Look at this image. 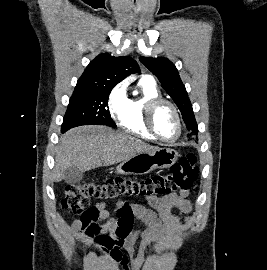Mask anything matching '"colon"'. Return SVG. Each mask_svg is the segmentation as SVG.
<instances>
[{"mask_svg": "<svg viewBox=\"0 0 267 270\" xmlns=\"http://www.w3.org/2000/svg\"><path fill=\"white\" fill-rule=\"evenodd\" d=\"M198 177L196 156H182L166 174L146 178L115 177L103 182L85 181L66 186L60 200L61 209L81 216L90 213L92 198L117 200L122 198L159 199L172 194L189 191ZM116 264L126 269L125 259L119 256Z\"/></svg>", "mask_w": 267, "mask_h": 270, "instance_id": "5ec220e1", "label": "colon"}]
</instances>
